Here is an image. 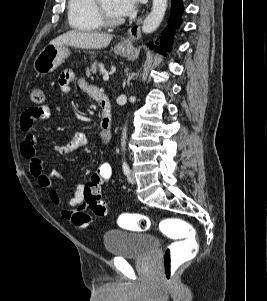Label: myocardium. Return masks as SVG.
Wrapping results in <instances>:
<instances>
[{
    "label": "myocardium",
    "instance_id": "1",
    "mask_svg": "<svg viewBox=\"0 0 267 301\" xmlns=\"http://www.w3.org/2000/svg\"><path fill=\"white\" fill-rule=\"evenodd\" d=\"M95 9L100 22L109 27L118 26L122 23L121 19L111 18L103 9L100 0H95Z\"/></svg>",
    "mask_w": 267,
    "mask_h": 301
}]
</instances>
